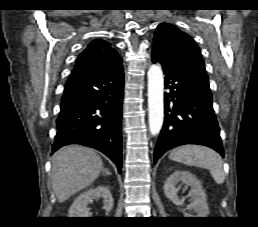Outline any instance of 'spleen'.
<instances>
[{
    "instance_id": "3e777b00",
    "label": "spleen",
    "mask_w": 258,
    "mask_h": 227,
    "mask_svg": "<svg viewBox=\"0 0 258 227\" xmlns=\"http://www.w3.org/2000/svg\"><path fill=\"white\" fill-rule=\"evenodd\" d=\"M169 158L189 166L208 169L217 184H222L225 180L222 158L210 148L184 145L172 150Z\"/></svg>"
}]
</instances>
